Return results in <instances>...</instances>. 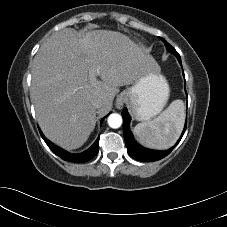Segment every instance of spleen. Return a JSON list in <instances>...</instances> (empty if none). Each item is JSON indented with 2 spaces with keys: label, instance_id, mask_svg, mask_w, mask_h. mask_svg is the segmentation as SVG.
Listing matches in <instances>:
<instances>
[{
  "label": "spleen",
  "instance_id": "3e777b00",
  "mask_svg": "<svg viewBox=\"0 0 227 227\" xmlns=\"http://www.w3.org/2000/svg\"><path fill=\"white\" fill-rule=\"evenodd\" d=\"M184 120V103L182 100H175L154 120L137 124L134 127V134L145 147L168 149L179 137Z\"/></svg>",
  "mask_w": 227,
  "mask_h": 227
}]
</instances>
